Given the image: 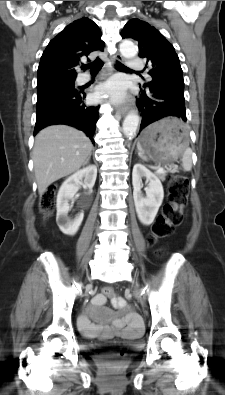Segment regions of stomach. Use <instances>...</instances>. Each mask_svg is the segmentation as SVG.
Masks as SVG:
<instances>
[{"label":"stomach","instance_id":"1","mask_svg":"<svg viewBox=\"0 0 225 395\" xmlns=\"http://www.w3.org/2000/svg\"><path fill=\"white\" fill-rule=\"evenodd\" d=\"M187 137L182 122L167 117L147 127L140 135L137 147L152 160L167 163L183 155L188 147Z\"/></svg>","mask_w":225,"mask_h":395}]
</instances>
